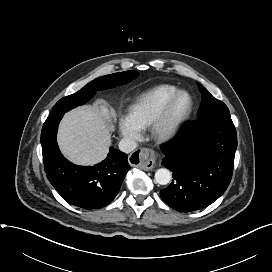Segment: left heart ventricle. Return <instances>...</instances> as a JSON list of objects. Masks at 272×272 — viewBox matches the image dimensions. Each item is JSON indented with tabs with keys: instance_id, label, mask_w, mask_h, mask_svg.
I'll return each mask as SVG.
<instances>
[{
	"instance_id": "obj_1",
	"label": "left heart ventricle",
	"mask_w": 272,
	"mask_h": 272,
	"mask_svg": "<svg viewBox=\"0 0 272 272\" xmlns=\"http://www.w3.org/2000/svg\"><path fill=\"white\" fill-rule=\"evenodd\" d=\"M189 105V98L186 95H181L176 101L173 116L178 117L185 112Z\"/></svg>"
}]
</instances>
